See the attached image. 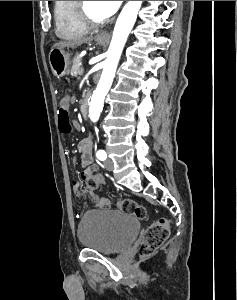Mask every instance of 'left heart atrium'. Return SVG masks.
I'll list each match as a JSON object with an SVG mask.
<instances>
[{"mask_svg": "<svg viewBox=\"0 0 237 300\" xmlns=\"http://www.w3.org/2000/svg\"><path fill=\"white\" fill-rule=\"evenodd\" d=\"M122 1H101V5L108 16L113 15L120 7Z\"/></svg>", "mask_w": 237, "mask_h": 300, "instance_id": "39dd6f15", "label": "left heart atrium"}]
</instances>
